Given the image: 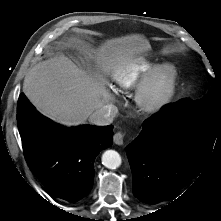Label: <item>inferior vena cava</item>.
Instances as JSON below:
<instances>
[{
  "label": "inferior vena cava",
  "instance_id": "inferior-vena-cava-1",
  "mask_svg": "<svg viewBox=\"0 0 221 221\" xmlns=\"http://www.w3.org/2000/svg\"><path fill=\"white\" fill-rule=\"evenodd\" d=\"M118 113V108L113 104H107L96 110L89 117V121L97 126H106L113 122Z\"/></svg>",
  "mask_w": 221,
  "mask_h": 221
}]
</instances>
